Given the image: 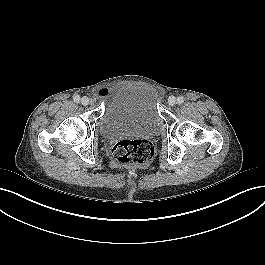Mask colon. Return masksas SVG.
<instances>
[{
	"mask_svg": "<svg viewBox=\"0 0 265 265\" xmlns=\"http://www.w3.org/2000/svg\"><path fill=\"white\" fill-rule=\"evenodd\" d=\"M112 153L120 165L142 166L153 160L155 147L147 139H122L114 145Z\"/></svg>",
	"mask_w": 265,
	"mask_h": 265,
	"instance_id": "1",
	"label": "colon"
}]
</instances>
